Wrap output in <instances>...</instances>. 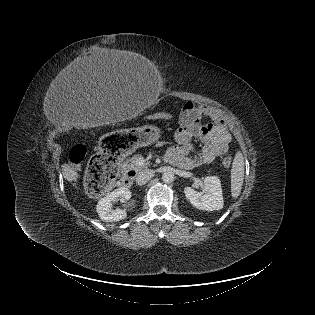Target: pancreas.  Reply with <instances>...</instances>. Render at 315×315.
<instances>
[{"mask_svg": "<svg viewBox=\"0 0 315 315\" xmlns=\"http://www.w3.org/2000/svg\"><path fill=\"white\" fill-rule=\"evenodd\" d=\"M141 158V155H134L130 159H127L126 165L128 169L135 170L136 172H139L146 168L148 166V163H144L139 165L137 162Z\"/></svg>", "mask_w": 315, "mask_h": 315, "instance_id": "pancreas-1", "label": "pancreas"}]
</instances>
